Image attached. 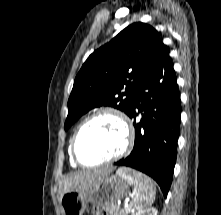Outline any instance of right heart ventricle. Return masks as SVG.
Returning <instances> with one entry per match:
<instances>
[{
  "mask_svg": "<svg viewBox=\"0 0 221 215\" xmlns=\"http://www.w3.org/2000/svg\"><path fill=\"white\" fill-rule=\"evenodd\" d=\"M71 163H72L73 165H75V162L73 161V159H71Z\"/></svg>",
  "mask_w": 221,
  "mask_h": 215,
  "instance_id": "right-heart-ventricle-1",
  "label": "right heart ventricle"
}]
</instances>
